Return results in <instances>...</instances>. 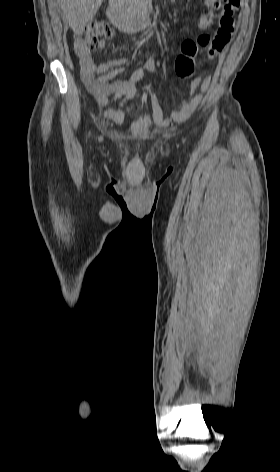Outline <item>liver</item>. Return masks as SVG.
Returning a JSON list of instances; mask_svg holds the SVG:
<instances>
[{
  "label": "liver",
  "mask_w": 280,
  "mask_h": 472,
  "mask_svg": "<svg viewBox=\"0 0 280 472\" xmlns=\"http://www.w3.org/2000/svg\"><path fill=\"white\" fill-rule=\"evenodd\" d=\"M65 19L75 34L83 31L99 10L102 0H58Z\"/></svg>",
  "instance_id": "1"
}]
</instances>
